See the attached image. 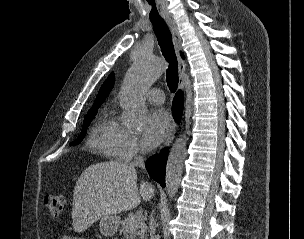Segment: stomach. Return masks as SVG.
<instances>
[{
  "label": "stomach",
  "mask_w": 304,
  "mask_h": 239,
  "mask_svg": "<svg viewBox=\"0 0 304 239\" xmlns=\"http://www.w3.org/2000/svg\"><path fill=\"white\" fill-rule=\"evenodd\" d=\"M120 225V218L118 216H103L100 219L99 230L102 235L111 237L116 234Z\"/></svg>",
  "instance_id": "0dacf381"
}]
</instances>
